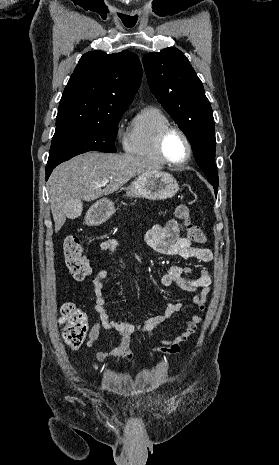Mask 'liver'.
<instances>
[{"label": "liver", "instance_id": "obj_1", "mask_svg": "<svg viewBox=\"0 0 279 465\" xmlns=\"http://www.w3.org/2000/svg\"><path fill=\"white\" fill-rule=\"evenodd\" d=\"M158 171L147 159L132 154L88 152L57 166L48 180L51 212L57 233L66 221L69 201L96 200L120 189L136 175ZM108 180L105 188L99 186ZM82 212V206H81Z\"/></svg>", "mask_w": 279, "mask_h": 465}]
</instances>
